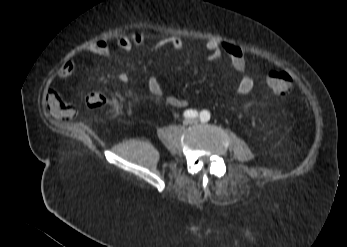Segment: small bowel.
I'll list each match as a JSON object with an SVG mask.
<instances>
[{"label":"small bowel","mask_w":347,"mask_h":247,"mask_svg":"<svg viewBox=\"0 0 347 247\" xmlns=\"http://www.w3.org/2000/svg\"><path fill=\"white\" fill-rule=\"evenodd\" d=\"M115 42L124 51H131L135 48H145L146 50L172 48L173 50L179 51L184 47V42L175 36L158 38L150 44L149 37L140 31L132 32L129 35L119 34L116 36ZM205 49L208 52L207 57L210 62H218L224 58L229 60L232 70L240 75L236 84V91L239 94L245 95L253 90L254 79L244 73L246 69V58L239 46L210 40L205 43ZM83 51L101 57H108L111 52L108 42L104 39H98L89 43L83 48ZM73 73L74 64L69 61L60 67L58 75L66 78ZM146 87L148 92L155 97L159 98L163 94L162 83L156 77H149ZM166 103L174 108H183L188 104L186 99L177 96L167 97ZM46 104L50 112L56 117L70 119L76 114V109L72 104L61 100L53 93L47 98Z\"/></svg>","instance_id":"small-bowel-1"}]
</instances>
